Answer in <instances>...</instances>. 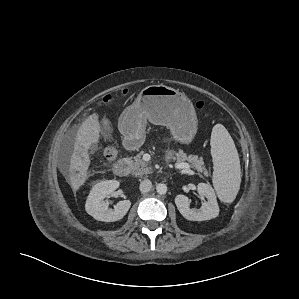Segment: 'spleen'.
<instances>
[{"label":"spleen","instance_id":"1","mask_svg":"<svg viewBox=\"0 0 299 299\" xmlns=\"http://www.w3.org/2000/svg\"><path fill=\"white\" fill-rule=\"evenodd\" d=\"M210 145L214 188L221 201L231 203L240 188L241 168L234 141L222 124L213 127Z\"/></svg>","mask_w":299,"mask_h":299}]
</instances>
